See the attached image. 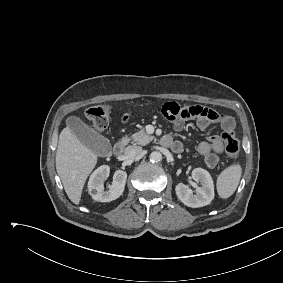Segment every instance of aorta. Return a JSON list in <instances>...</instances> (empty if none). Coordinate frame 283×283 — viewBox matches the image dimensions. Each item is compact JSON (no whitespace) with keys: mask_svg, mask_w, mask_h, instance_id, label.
<instances>
[{"mask_svg":"<svg viewBox=\"0 0 283 283\" xmlns=\"http://www.w3.org/2000/svg\"><path fill=\"white\" fill-rule=\"evenodd\" d=\"M149 159L151 162H159L162 160V154L159 151H153L150 154Z\"/></svg>","mask_w":283,"mask_h":283,"instance_id":"762f6f07","label":"aorta"}]
</instances>
